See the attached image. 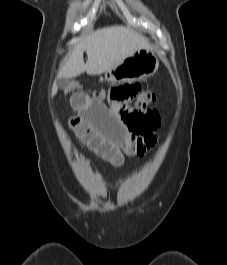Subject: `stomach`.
<instances>
[{"label": "stomach", "instance_id": "1", "mask_svg": "<svg viewBox=\"0 0 227 265\" xmlns=\"http://www.w3.org/2000/svg\"><path fill=\"white\" fill-rule=\"evenodd\" d=\"M159 61L150 48L138 49L126 57L116 67L105 72L104 79L112 83L138 81L153 76Z\"/></svg>", "mask_w": 227, "mask_h": 265}]
</instances>
